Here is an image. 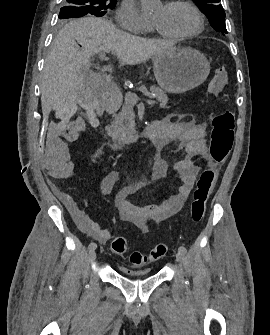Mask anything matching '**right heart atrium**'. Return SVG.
Returning a JSON list of instances; mask_svg holds the SVG:
<instances>
[{
  "instance_id": "right-heart-atrium-1",
  "label": "right heart atrium",
  "mask_w": 270,
  "mask_h": 335,
  "mask_svg": "<svg viewBox=\"0 0 270 335\" xmlns=\"http://www.w3.org/2000/svg\"><path fill=\"white\" fill-rule=\"evenodd\" d=\"M115 19L126 31L143 35L152 33L150 24L142 17L134 0H125L117 10Z\"/></svg>"
}]
</instances>
